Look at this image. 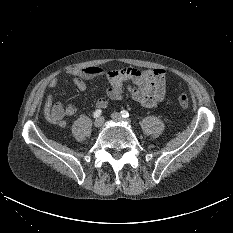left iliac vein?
<instances>
[{
	"label": "left iliac vein",
	"instance_id": "1",
	"mask_svg": "<svg viewBox=\"0 0 233 233\" xmlns=\"http://www.w3.org/2000/svg\"><path fill=\"white\" fill-rule=\"evenodd\" d=\"M112 119L114 121H117V122H121V121H126L127 123H129V121L125 120L120 113H117V112H114L112 113L111 115Z\"/></svg>",
	"mask_w": 233,
	"mask_h": 233
}]
</instances>
